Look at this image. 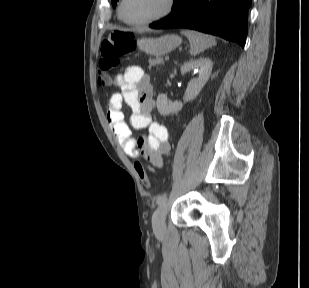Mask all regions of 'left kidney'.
Wrapping results in <instances>:
<instances>
[{"instance_id":"1","label":"left kidney","mask_w":309,"mask_h":288,"mask_svg":"<svg viewBox=\"0 0 309 288\" xmlns=\"http://www.w3.org/2000/svg\"><path fill=\"white\" fill-rule=\"evenodd\" d=\"M213 63L209 58H199L195 60H190L184 63L181 67V74L184 75L191 70H199V76L194 79L191 83L188 84L184 103L193 100L200 93L203 86L208 81L211 71H212ZM157 109L161 115H169L172 113L179 112L183 104L180 102H171L167 99L165 94H159L157 97Z\"/></svg>"}]
</instances>
